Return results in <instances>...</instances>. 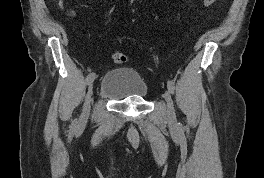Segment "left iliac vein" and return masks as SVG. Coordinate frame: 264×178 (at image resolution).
Wrapping results in <instances>:
<instances>
[{
	"label": "left iliac vein",
	"instance_id": "1",
	"mask_svg": "<svg viewBox=\"0 0 264 178\" xmlns=\"http://www.w3.org/2000/svg\"><path fill=\"white\" fill-rule=\"evenodd\" d=\"M164 98L167 103L168 119L171 123H174L176 121L175 109H174L172 97L168 91L165 92Z\"/></svg>",
	"mask_w": 264,
	"mask_h": 178
}]
</instances>
